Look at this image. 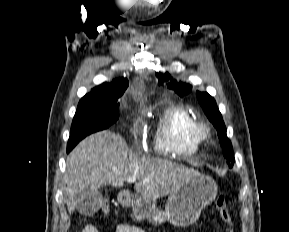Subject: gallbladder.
I'll return each mask as SVG.
<instances>
[{
  "label": "gallbladder",
  "mask_w": 289,
  "mask_h": 232,
  "mask_svg": "<svg viewBox=\"0 0 289 232\" xmlns=\"http://www.w3.org/2000/svg\"><path fill=\"white\" fill-rule=\"evenodd\" d=\"M103 198L98 190H87L79 195L77 210L83 215H93L102 207Z\"/></svg>",
  "instance_id": "obj_1"
}]
</instances>
